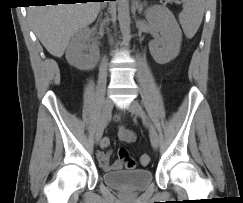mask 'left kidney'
<instances>
[{"label":"left kidney","mask_w":243,"mask_h":203,"mask_svg":"<svg viewBox=\"0 0 243 203\" xmlns=\"http://www.w3.org/2000/svg\"><path fill=\"white\" fill-rule=\"evenodd\" d=\"M145 17L154 35V40L149 43L152 57L159 64L172 61L178 56L182 41V32L175 17L167 8L158 5L149 9Z\"/></svg>","instance_id":"left-kidney-1"}]
</instances>
